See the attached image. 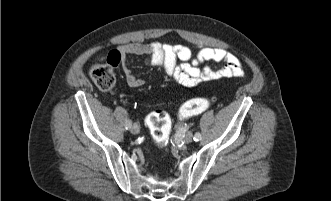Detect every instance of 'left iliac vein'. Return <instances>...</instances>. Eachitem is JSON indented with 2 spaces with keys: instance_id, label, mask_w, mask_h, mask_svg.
Wrapping results in <instances>:
<instances>
[{
  "instance_id": "left-iliac-vein-1",
  "label": "left iliac vein",
  "mask_w": 331,
  "mask_h": 201,
  "mask_svg": "<svg viewBox=\"0 0 331 201\" xmlns=\"http://www.w3.org/2000/svg\"><path fill=\"white\" fill-rule=\"evenodd\" d=\"M192 140H193V134L190 131L186 132L184 135V142L190 143Z\"/></svg>"
}]
</instances>
